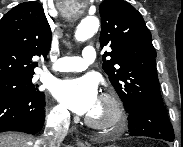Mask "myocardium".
Listing matches in <instances>:
<instances>
[{
	"instance_id": "obj_1",
	"label": "myocardium",
	"mask_w": 183,
	"mask_h": 147,
	"mask_svg": "<svg viewBox=\"0 0 183 147\" xmlns=\"http://www.w3.org/2000/svg\"><path fill=\"white\" fill-rule=\"evenodd\" d=\"M100 100L105 102L111 111V117L106 121H99L89 115L85 117V123L96 130H110L122 126L126 121V112L121 100L113 93H103Z\"/></svg>"
}]
</instances>
